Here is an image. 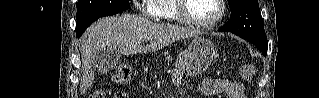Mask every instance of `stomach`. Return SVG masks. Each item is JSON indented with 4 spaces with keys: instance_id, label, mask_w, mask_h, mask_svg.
<instances>
[{
    "instance_id": "obj_1",
    "label": "stomach",
    "mask_w": 319,
    "mask_h": 98,
    "mask_svg": "<svg viewBox=\"0 0 319 98\" xmlns=\"http://www.w3.org/2000/svg\"><path fill=\"white\" fill-rule=\"evenodd\" d=\"M215 56L214 44L196 36L182 56V64L189 76H197L206 71Z\"/></svg>"
}]
</instances>
